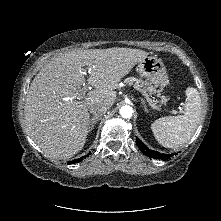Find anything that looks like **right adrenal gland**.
<instances>
[{
  "mask_svg": "<svg viewBox=\"0 0 221 221\" xmlns=\"http://www.w3.org/2000/svg\"><path fill=\"white\" fill-rule=\"evenodd\" d=\"M99 120H100V118H95V117L90 120L89 126H88V131H89V132L93 130L95 124H96Z\"/></svg>",
  "mask_w": 221,
  "mask_h": 221,
  "instance_id": "2a0ac1e0",
  "label": "right adrenal gland"
}]
</instances>
